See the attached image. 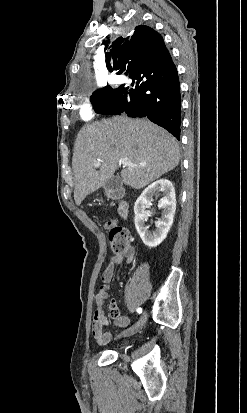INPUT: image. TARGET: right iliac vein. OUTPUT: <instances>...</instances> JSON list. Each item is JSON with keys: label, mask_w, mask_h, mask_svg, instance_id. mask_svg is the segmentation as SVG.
<instances>
[{"label": "right iliac vein", "mask_w": 247, "mask_h": 413, "mask_svg": "<svg viewBox=\"0 0 247 413\" xmlns=\"http://www.w3.org/2000/svg\"><path fill=\"white\" fill-rule=\"evenodd\" d=\"M147 321V315L146 313L142 314L139 320L129 329L122 331V335L125 337H130L137 333L141 328H143L144 324Z\"/></svg>", "instance_id": "right-iliac-vein-1"}]
</instances>
